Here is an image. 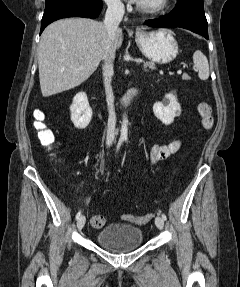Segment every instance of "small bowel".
Wrapping results in <instances>:
<instances>
[{
    "mask_svg": "<svg viewBox=\"0 0 240 287\" xmlns=\"http://www.w3.org/2000/svg\"><path fill=\"white\" fill-rule=\"evenodd\" d=\"M181 145L182 141L180 139L173 140L165 145L154 144L150 149L151 164L164 161L170 155L176 153L180 149Z\"/></svg>",
    "mask_w": 240,
    "mask_h": 287,
    "instance_id": "obj_1",
    "label": "small bowel"
}]
</instances>
